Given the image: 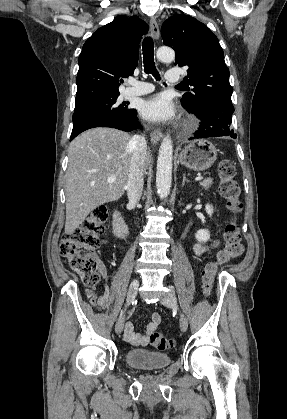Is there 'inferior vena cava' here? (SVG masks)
I'll return each instance as SVG.
<instances>
[{"instance_id": "1", "label": "inferior vena cava", "mask_w": 287, "mask_h": 419, "mask_svg": "<svg viewBox=\"0 0 287 419\" xmlns=\"http://www.w3.org/2000/svg\"><path fill=\"white\" fill-rule=\"evenodd\" d=\"M130 147L132 149V157L126 191L129 204L135 206L139 202L143 191L144 164L147 153L145 137L134 135L130 140Z\"/></svg>"}]
</instances>
